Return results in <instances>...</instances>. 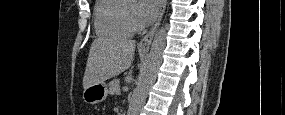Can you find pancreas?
I'll list each match as a JSON object with an SVG mask.
<instances>
[{
  "mask_svg": "<svg viewBox=\"0 0 285 115\" xmlns=\"http://www.w3.org/2000/svg\"><path fill=\"white\" fill-rule=\"evenodd\" d=\"M118 89H119V79L115 78L109 82L108 92L109 94L114 95L117 93Z\"/></svg>",
  "mask_w": 285,
  "mask_h": 115,
  "instance_id": "obj_1",
  "label": "pancreas"
}]
</instances>
